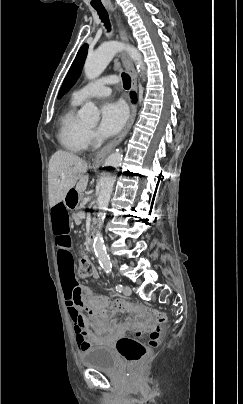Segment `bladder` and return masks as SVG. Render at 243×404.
I'll return each mask as SVG.
<instances>
[{"label": "bladder", "mask_w": 243, "mask_h": 404, "mask_svg": "<svg viewBox=\"0 0 243 404\" xmlns=\"http://www.w3.org/2000/svg\"><path fill=\"white\" fill-rule=\"evenodd\" d=\"M79 359L85 368L115 374L120 363L114 351L106 346H90L80 351Z\"/></svg>", "instance_id": "obj_1"}]
</instances>
